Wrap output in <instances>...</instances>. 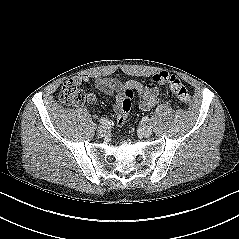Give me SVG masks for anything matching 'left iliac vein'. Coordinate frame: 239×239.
<instances>
[{
	"label": "left iliac vein",
	"instance_id": "4c4485c4",
	"mask_svg": "<svg viewBox=\"0 0 239 239\" xmlns=\"http://www.w3.org/2000/svg\"><path fill=\"white\" fill-rule=\"evenodd\" d=\"M140 133L144 137H150L152 135V129L149 126H143L140 128Z\"/></svg>",
	"mask_w": 239,
	"mask_h": 239
}]
</instances>
